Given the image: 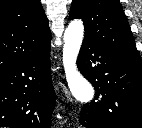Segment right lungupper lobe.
<instances>
[{
    "mask_svg": "<svg viewBox=\"0 0 142 128\" xmlns=\"http://www.w3.org/2000/svg\"><path fill=\"white\" fill-rule=\"evenodd\" d=\"M40 0H0V73L50 45Z\"/></svg>",
    "mask_w": 142,
    "mask_h": 128,
    "instance_id": "right-lung-upper-lobe-1",
    "label": "right lung upper lobe"
}]
</instances>
